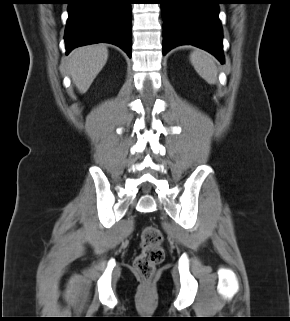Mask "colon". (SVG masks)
I'll return each instance as SVG.
<instances>
[{"mask_svg":"<svg viewBox=\"0 0 290 321\" xmlns=\"http://www.w3.org/2000/svg\"><path fill=\"white\" fill-rule=\"evenodd\" d=\"M162 243L163 235L157 227L144 228L140 240L141 252L134 261L135 272L141 279H152L156 266L163 261L165 254Z\"/></svg>","mask_w":290,"mask_h":321,"instance_id":"obj_1","label":"colon"}]
</instances>
